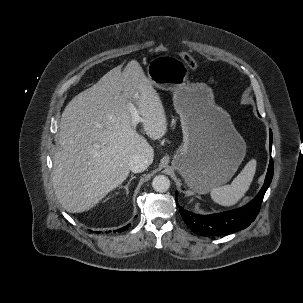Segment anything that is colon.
<instances>
[{
    "mask_svg": "<svg viewBox=\"0 0 303 303\" xmlns=\"http://www.w3.org/2000/svg\"><path fill=\"white\" fill-rule=\"evenodd\" d=\"M167 51H168V48L163 44H160L155 48V52H157V53H165ZM180 57L183 60V62L186 64V66L189 67L190 69L198 68V62L189 53L182 52L180 54Z\"/></svg>",
    "mask_w": 303,
    "mask_h": 303,
    "instance_id": "1",
    "label": "colon"
}]
</instances>
